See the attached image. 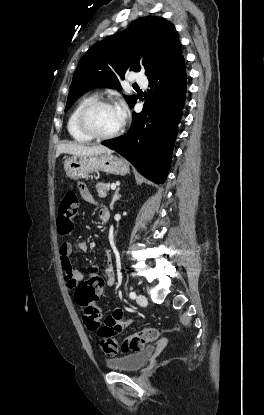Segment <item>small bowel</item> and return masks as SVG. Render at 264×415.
Instances as JSON below:
<instances>
[{
  "label": "small bowel",
  "instance_id": "obj_1",
  "mask_svg": "<svg viewBox=\"0 0 264 415\" xmlns=\"http://www.w3.org/2000/svg\"><path fill=\"white\" fill-rule=\"evenodd\" d=\"M85 198L94 204L97 202L94 200L92 195L86 191L84 194ZM98 218L101 223L105 224L110 219V212L107 207L102 206L98 212ZM77 249L80 252H87L88 251V244L85 241H79L77 244ZM73 247L70 243L64 242L59 246V258L61 268L65 273V278L67 282V286L69 289L73 291V294L76 293L78 286L86 280L84 274L75 269L72 265L71 255H72ZM105 266L103 268L104 278L101 279V291L102 288L111 287L115 284V271L113 267V259L112 255L109 251H105L103 255ZM131 320L128 319L121 309H115L111 316H109L105 323V328L109 331L111 335L116 334L127 328L131 325Z\"/></svg>",
  "mask_w": 264,
  "mask_h": 415
}]
</instances>
